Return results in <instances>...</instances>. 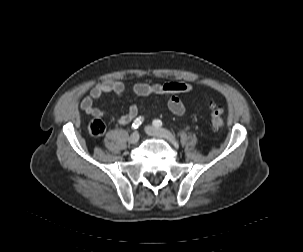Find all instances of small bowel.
Listing matches in <instances>:
<instances>
[{"mask_svg":"<svg viewBox=\"0 0 303 252\" xmlns=\"http://www.w3.org/2000/svg\"><path fill=\"white\" fill-rule=\"evenodd\" d=\"M192 91L191 84L183 81L167 82L163 84L142 82L134 86L133 92L139 96H147L150 94H158L168 99L169 110L178 116L185 114L186 106L178 95L190 93ZM125 92V85L121 81L105 80L97 83L89 91L81 101V109L88 115L101 118L105 112L97 108L94 104L105 93H113L117 97H121ZM139 114V108L136 104L131 105L126 113L116 115L115 119L119 124L125 125L136 120Z\"/></svg>","mask_w":303,"mask_h":252,"instance_id":"c3829d8e","label":"small bowel"}]
</instances>
